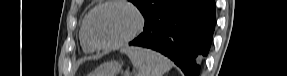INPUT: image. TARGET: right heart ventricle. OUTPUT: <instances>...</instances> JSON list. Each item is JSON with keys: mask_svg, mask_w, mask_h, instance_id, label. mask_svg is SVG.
<instances>
[{"mask_svg": "<svg viewBox=\"0 0 287 76\" xmlns=\"http://www.w3.org/2000/svg\"><path fill=\"white\" fill-rule=\"evenodd\" d=\"M80 39H81L82 48L85 52H93L95 50V48L89 43V41L86 38L85 30H84V23L81 27Z\"/></svg>", "mask_w": 287, "mask_h": 76, "instance_id": "right-heart-ventricle-1", "label": "right heart ventricle"}]
</instances>
